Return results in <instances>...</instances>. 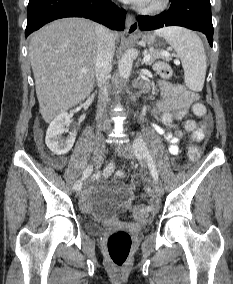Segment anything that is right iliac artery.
<instances>
[{"mask_svg": "<svg viewBox=\"0 0 233 284\" xmlns=\"http://www.w3.org/2000/svg\"><path fill=\"white\" fill-rule=\"evenodd\" d=\"M89 172H93V166L92 165H88L85 168V170L83 171L82 178L74 184V190H76V189H78L79 187L82 186V181L89 177Z\"/></svg>", "mask_w": 233, "mask_h": 284, "instance_id": "82829eb1", "label": "right iliac artery"}]
</instances>
